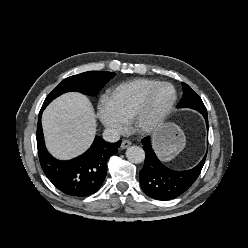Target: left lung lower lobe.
Instances as JSON below:
<instances>
[{
	"label": "left lung lower lobe",
	"mask_w": 248,
	"mask_h": 248,
	"mask_svg": "<svg viewBox=\"0 0 248 248\" xmlns=\"http://www.w3.org/2000/svg\"><path fill=\"white\" fill-rule=\"evenodd\" d=\"M205 118L208 128L207 110L199 111ZM146 152L145 163L139 173L143 191L157 200H169L184 193L198 178L204 165L206 155L194 168L185 171H174L165 167L156 157L150 138L142 139Z\"/></svg>",
	"instance_id": "obj_1"
}]
</instances>
